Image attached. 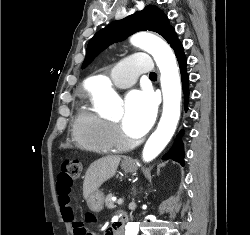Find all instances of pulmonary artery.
<instances>
[{"label": "pulmonary artery", "instance_id": "obj_1", "mask_svg": "<svg viewBox=\"0 0 250 235\" xmlns=\"http://www.w3.org/2000/svg\"><path fill=\"white\" fill-rule=\"evenodd\" d=\"M153 68V62L148 53H134L123 60L110 76L116 87L127 88L135 83L138 73H150Z\"/></svg>", "mask_w": 250, "mask_h": 235}]
</instances>
